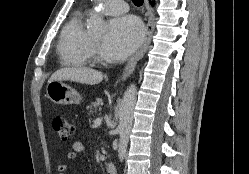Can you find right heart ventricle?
I'll use <instances>...</instances> for the list:
<instances>
[{
  "mask_svg": "<svg viewBox=\"0 0 249 174\" xmlns=\"http://www.w3.org/2000/svg\"><path fill=\"white\" fill-rule=\"evenodd\" d=\"M91 38L85 29V14H75L63 28L58 53L68 66H86L90 62Z\"/></svg>",
  "mask_w": 249,
  "mask_h": 174,
  "instance_id": "e07e8e85",
  "label": "right heart ventricle"
}]
</instances>
